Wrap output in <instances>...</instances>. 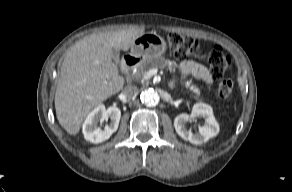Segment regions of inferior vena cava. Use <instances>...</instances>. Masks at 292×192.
I'll use <instances>...</instances> for the list:
<instances>
[{"label": "inferior vena cava", "instance_id": "602c4592", "mask_svg": "<svg viewBox=\"0 0 292 192\" xmlns=\"http://www.w3.org/2000/svg\"><path fill=\"white\" fill-rule=\"evenodd\" d=\"M122 93L126 98L132 99L137 95L138 89L135 86L129 85L123 89Z\"/></svg>", "mask_w": 292, "mask_h": 192}]
</instances>
